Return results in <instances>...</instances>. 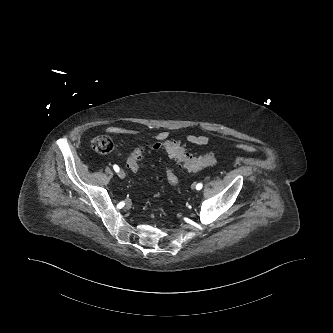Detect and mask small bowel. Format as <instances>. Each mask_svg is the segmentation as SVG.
Wrapping results in <instances>:
<instances>
[{
  "instance_id": "1",
  "label": "small bowel",
  "mask_w": 333,
  "mask_h": 333,
  "mask_svg": "<svg viewBox=\"0 0 333 333\" xmlns=\"http://www.w3.org/2000/svg\"><path fill=\"white\" fill-rule=\"evenodd\" d=\"M106 132L112 135L118 136H137L141 134V130L136 128H125L121 126H108L106 128ZM156 142H166L169 140V133L167 131H159L155 135ZM186 141L193 145H206L211 141V137L205 134H194L189 133L186 136ZM242 147H246L252 149V146L242 145Z\"/></svg>"
}]
</instances>
